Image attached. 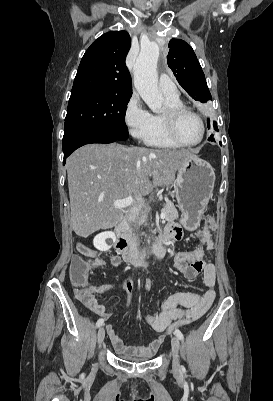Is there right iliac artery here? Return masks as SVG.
<instances>
[{
    "mask_svg": "<svg viewBox=\"0 0 273 401\" xmlns=\"http://www.w3.org/2000/svg\"><path fill=\"white\" fill-rule=\"evenodd\" d=\"M103 323H104V320H103L102 318H100V319L97 321L96 326H97V327H100V326L103 325Z\"/></svg>",
    "mask_w": 273,
    "mask_h": 401,
    "instance_id": "obj_1",
    "label": "right iliac artery"
}]
</instances>
